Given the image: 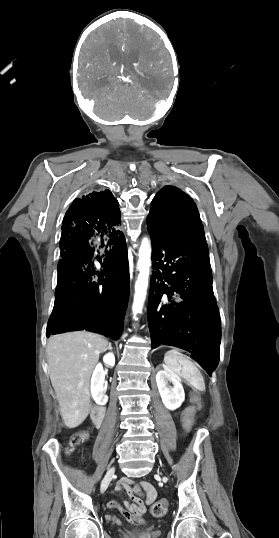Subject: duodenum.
Returning <instances> with one entry per match:
<instances>
[{"instance_id": "duodenum-1", "label": "duodenum", "mask_w": 279, "mask_h": 538, "mask_svg": "<svg viewBox=\"0 0 279 538\" xmlns=\"http://www.w3.org/2000/svg\"><path fill=\"white\" fill-rule=\"evenodd\" d=\"M102 409H105V406H102ZM102 409L95 406V409L91 411L92 418H94L93 422L95 423L94 427L96 429L102 428V423H104L105 414Z\"/></svg>"}]
</instances>
